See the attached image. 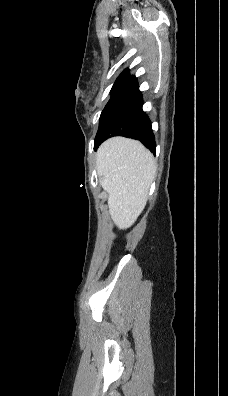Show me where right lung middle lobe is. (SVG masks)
<instances>
[{"mask_svg": "<svg viewBox=\"0 0 228 396\" xmlns=\"http://www.w3.org/2000/svg\"><path fill=\"white\" fill-rule=\"evenodd\" d=\"M125 88L120 87V86H113L111 89V98L108 101L107 105L105 106V108L103 109L101 115L104 113V111L108 108V106L114 101V99L124 90Z\"/></svg>", "mask_w": 228, "mask_h": 396, "instance_id": "right-lung-middle-lobe-1", "label": "right lung middle lobe"}]
</instances>
